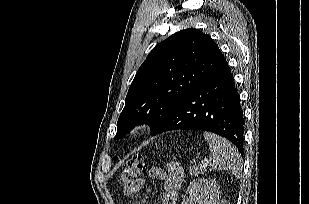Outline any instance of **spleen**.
Returning a JSON list of instances; mask_svg holds the SVG:
<instances>
[{"label": "spleen", "instance_id": "obj_1", "mask_svg": "<svg viewBox=\"0 0 309 204\" xmlns=\"http://www.w3.org/2000/svg\"><path fill=\"white\" fill-rule=\"evenodd\" d=\"M209 144V165L213 170H229L236 177L241 175L242 159L237 149L226 139L210 132L203 133Z\"/></svg>", "mask_w": 309, "mask_h": 204}]
</instances>
